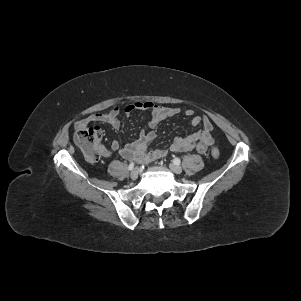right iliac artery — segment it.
<instances>
[{"label": "right iliac artery", "instance_id": "obj_1", "mask_svg": "<svg viewBox=\"0 0 301 301\" xmlns=\"http://www.w3.org/2000/svg\"><path fill=\"white\" fill-rule=\"evenodd\" d=\"M134 166H135V163H134V162H131V163L129 164L128 169H129V170H132V169L134 168Z\"/></svg>", "mask_w": 301, "mask_h": 301}]
</instances>
